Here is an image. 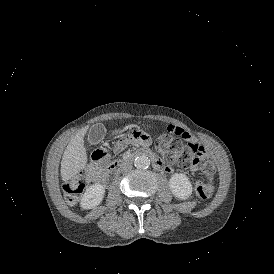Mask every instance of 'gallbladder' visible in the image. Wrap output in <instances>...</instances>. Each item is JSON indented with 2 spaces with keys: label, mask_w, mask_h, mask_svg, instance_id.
I'll use <instances>...</instances> for the list:
<instances>
[{
  "label": "gallbladder",
  "mask_w": 274,
  "mask_h": 274,
  "mask_svg": "<svg viewBox=\"0 0 274 274\" xmlns=\"http://www.w3.org/2000/svg\"><path fill=\"white\" fill-rule=\"evenodd\" d=\"M106 135V128L103 124L97 123L91 126L88 133V142L98 144Z\"/></svg>",
  "instance_id": "1"
}]
</instances>
